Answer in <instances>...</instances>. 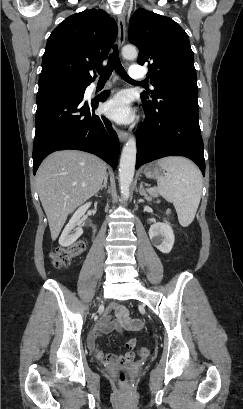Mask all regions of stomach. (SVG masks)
Returning <instances> with one entry per match:
<instances>
[{
    "instance_id": "1",
    "label": "stomach",
    "mask_w": 243,
    "mask_h": 409,
    "mask_svg": "<svg viewBox=\"0 0 243 409\" xmlns=\"http://www.w3.org/2000/svg\"><path fill=\"white\" fill-rule=\"evenodd\" d=\"M161 168L159 167L158 163H150L144 169V174L147 178H158L160 175Z\"/></svg>"
}]
</instances>
